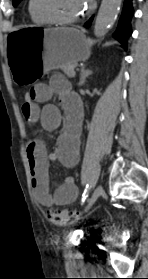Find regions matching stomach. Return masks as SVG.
<instances>
[{"mask_svg": "<svg viewBox=\"0 0 148 279\" xmlns=\"http://www.w3.org/2000/svg\"><path fill=\"white\" fill-rule=\"evenodd\" d=\"M8 38V49H22L7 50L10 64H6V69L12 72L9 78H15V87H36V82H43L50 69L85 61L90 56L89 39L75 28L22 25L18 30H10Z\"/></svg>", "mask_w": 148, "mask_h": 279, "instance_id": "1", "label": "stomach"}]
</instances>
